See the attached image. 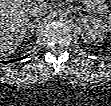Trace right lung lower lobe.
I'll use <instances>...</instances> for the list:
<instances>
[{"instance_id":"obj_1","label":"right lung lower lobe","mask_w":111,"mask_h":106,"mask_svg":"<svg viewBox=\"0 0 111 106\" xmlns=\"http://www.w3.org/2000/svg\"><path fill=\"white\" fill-rule=\"evenodd\" d=\"M26 57V56H25ZM25 57H22V58H19V59H14V60H10V61H0V63H9V62H14V61H18V60H21V59H24Z\"/></svg>"}]
</instances>
